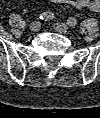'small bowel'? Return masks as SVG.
Returning a JSON list of instances; mask_svg holds the SVG:
<instances>
[{
    "label": "small bowel",
    "instance_id": "c3829d8e",
    "mask_svg": "<svg viewBox=\"0 0 100 118\" xmlns=\"http://www.w3.org/2000/svg\"><path fill=\"white\" fill-rule=\"evenodd\" d=\"M49 1L58 4H68L77 9L88 8L89 10L94 12L100 11V0H49Z\"/></svg>",
    "mask_w": 100,
    "mask_h": 118
}]
</instances>
